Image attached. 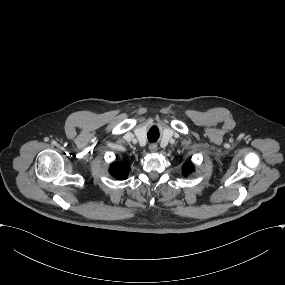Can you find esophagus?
<instances>
[{
	"label": "esophagus",
	"mask_w": 285,
	"mask_h": 285,
	"mask_svg": "<svg viewBox=\"0 0 285 285\" xmlns=\"http://www.w3.org/2000/svg\"><path fill=\"white\" fill-rule=\"evenodd\" d=\"M157 149H158L157 143H151V144L149 145V150H150V152L155 153V152L157 151Z\"/></svg>",
	"instance_id": "34e87169"
}]
</instances>
